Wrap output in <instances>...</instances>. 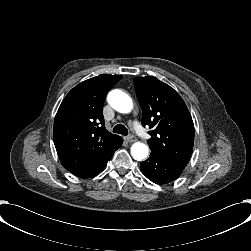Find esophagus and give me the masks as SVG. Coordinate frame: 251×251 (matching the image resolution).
Segmentation results:
<instances>
[{
    "mask_svg": "<svg viewBox=\"0 0 251 251\" xmlns=\"http://www.w3.org/2000/svg\"><path fill=\"white\" fill-rule=\"evenodd\" d=\"M127 142L131 143V142H135L136 138L133 135L127 136L126 137Z\"/></svg>",
    "mask_w": 251,
    "mask_h": 251,
    "instance_id": "34e87169",
    "label": "esophagus"
}]
</instances>
